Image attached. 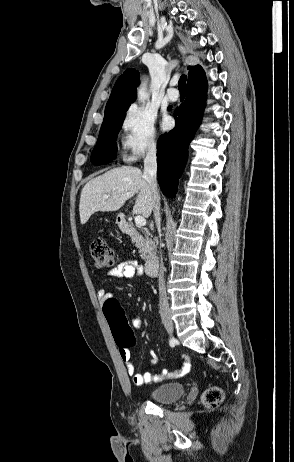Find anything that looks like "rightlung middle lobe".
<instances>
[{
	"label": "right lung middle lobe",
	"instance_id": "dd1d6c3e",
	"mask_svg": "<svg viewBox=\"0 0 294 462\" xmlns=\"http://www.w3.org/2000/svg\"><path fill=\"white\" fill-rule=\"evenodd\" d=\"M126 112L104 118L98 141L91 155V162L96 165L106 164L114 159L117 151L115 138L121 129Z\"/></svg>",
	"mask_w": 294,
	"mask_h": 462
}]
</instances>
